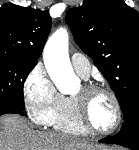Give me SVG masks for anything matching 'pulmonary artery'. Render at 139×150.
Masks as SVG:
<instances>
[{
  "label": "pulmonary artery",
  "mask_w": 139,
  "mask_h": 150,
  "mask_svg": "<svg viewBox=\"0 0 139 150\" xmlns=\"http://www.w3.org/2000/svg\"><path fill=\"white\" fill-rule=\"evenodd\" d=\"M71 62L74 70L84 79L90 77L91 74V64L89 60L80 53H74L71 56Z\"/></svg>",
  "instance_id": "1"
}]
</instances>
